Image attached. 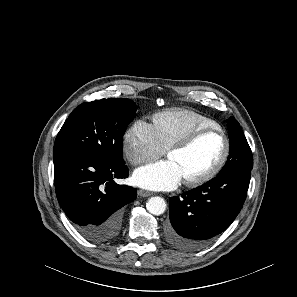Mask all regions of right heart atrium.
<instances>
[{
  "label": "right heart atrium",
  "mask_w": 297,
  "mask_h": 297,
  "mask_svg": "<svg viewBox=\"0 0 297 297\" xmlns=\"http://www.w3.org/2000/svg\"><path fill=\"white\" fill-rule=\"evenodd\" d=\"M123 152L134 166L151 162L165 154L153 124L137 120L124 133Z\"/></svg>",
  "instance_id": "right-heart-atrium-1"
}]
</instances>
